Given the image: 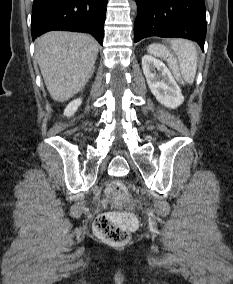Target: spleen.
<instances>
[{"label":"spleen","instance_id":"1","mask_svg":"<svg viewBox=\"0 0 233 284\" xmlns=\"http://www.w3.org/2000/svg\"><path fill=\"white\" fill-rule=\"evenodd\" d=\"M171 49L175 52L178 58L179 65L171 61V66L174 73H181L185 82L192 84L196 75L198 54L195 45L184 39H174L171 42ZM148 52L158 56L166 57L169 55V50L166 46L153 43L148 47Z\"/></svg>","mask_w":233,"mask_h":284}]
</instances>
